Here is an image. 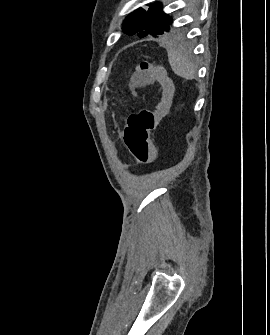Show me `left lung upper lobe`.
Listing matches in <instances>:
<instances>
[{
    "label": "left lung upper lobe",
    "mask_w": 270,
    "mask_h": 335,
    "mask_svg": "<svg viewBox=\"0 0 270 335\" xmlns=\"http://www.w3.org/2000/svg\"><path fill=\"white\" fill-rule=\"evenodd\" d=\"M160 3H153L148 11L138 9L130 14L123 23V31L128 35L138 33L139 36L159 35L170 30L169 18L162 10Z\"/></svg>",
    "instance_id": "5c2ea615"
}]
</instances>
